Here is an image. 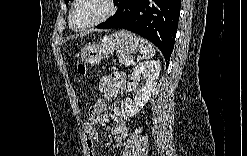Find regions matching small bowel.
<instances>
[{
	"instance_id": "1",
	"label": "small bowel",
	"mask_w": 247,
	"mask_h": 156,
	"mask_svg": "<svg viewBox=\"0 0 247 156\" xmlns=\"http://www.w3.org/2000/svg\"><path fill=\"white\" fill-rule=\"evenodd\" d=\"M99 90L104 95V97L108 100L116 101L118 95L123 93L124 90V77L120 73H113L109 76L103 77L99 84ZM93 104L89 107L91 110ZM106 104L102 106L100 109V113L102 117L99 118V121H96L95 124H88L86 117L83 124V133L86 141V148L90 156L94 155V144L99 141L98 136L96 135L94 130H91V125H106L109 123L110 119L114 121L113 127L111 129L112 137L115 143L118 146H121L123 141L127 136V126L123 119L121 111L118 109L116 105L111 108V113L108 114L105 112Z\"/></svg>"
}]
</instances>
